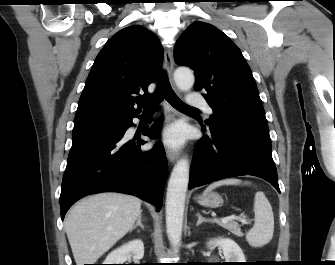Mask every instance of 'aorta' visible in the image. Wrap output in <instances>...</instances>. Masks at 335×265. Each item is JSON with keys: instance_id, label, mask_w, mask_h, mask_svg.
<instances>
[{"instance_id": "aorta-1", "label": "aorta", "mask_w": 335, "mask_h": 265, "mask_svg": "<svg viewBox=\"0 0 335 265\" xmlns=\"http://www.w3.org/2000/svg\"><path fill=\"white\" fill-rule=\"evenodd\" d=\"M178 88L188 91L194 85V74L188 68H178L174 73ZM190 165L187 158H181L174 166L166 194V230L172 247L177 250L181 244L185 198L189 183Z\"/></svg>"}]
</instances>
